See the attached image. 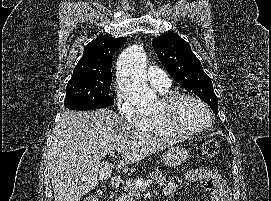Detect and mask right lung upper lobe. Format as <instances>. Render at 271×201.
<instances>
[{
	"mask_svg": "<svg viewBox=\"0 0 271 201\" xmlns=\"http://www.w3.org/2000/svg\"><path fill=\"white\" fill-rule=\"evenodd\" d=\"M126 41V37L98 36L84 48L83 56L75 66L73 75L111 74L113 55Z\"/></svg>",
	"mask_w": 271,
	"mask_h": 201,
	"instance_id": "right-lung-upper-lobe-1",
	"label": "right lung upper lobe"
}]
</instances>
